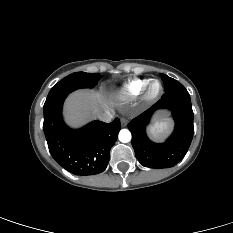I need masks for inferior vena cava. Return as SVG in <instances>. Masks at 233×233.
<instances>
[{
    "label": "inferior vena cava",
    "instance_id": "1",
    "mask_svg": "<svg viewBox=\"0 0 233 233\" xmlns=\"http://www.w3.org/2000/svg\"><path fill=\"white\" fill-rule=\"evenodd\" d=\"M97 118L100 120V121H103V122H106V123H109L113 120L114 118V112L113 111H110V110H105L101 113H99L97 115Z\"/></svg>",
    "mask_w": 233,
    "mask_h": 233
}]
</instances>
